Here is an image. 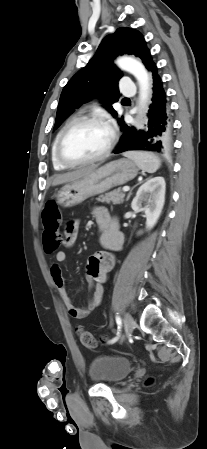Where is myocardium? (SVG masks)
I'll return each mask as SVG.
<instances>
[{"label": "myocardium", "mask_w": 207, "mask_h": 449, "mask_svg": "<svg viewBox=\"0 0 207 449\" xmlns=\"http://www.w3.org/2000/svg\"><path fill=\"white\" fill-rule=\"evenodd\" d=\"M81 124H97V125L105 126L110 132V139H109L108 145L106 146L105 150L102 153H100L99 155L89 158V159H85V160L72 161L63 155L62 144H63V141H64L66 135L68 134V132L71 129H73L74 127L81 125ZM115 143H116V133L111 128V126L106 122V120L104 118H101V117H79V118H76V119L72 120L71 122H69L62 129V131L59 134V137L57 139L55 152H56V157H57L58 161L60 162V164H62L63 166H65L67 168H74V167L85 166V165H89V164H93V163L102 161L103 159H105L106 157L109 156V154L111 153V151L113 150V148L115 146Z\"/></svg>", "instance_id": "1"}]
</instances>
